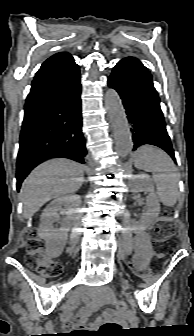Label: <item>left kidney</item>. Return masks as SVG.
Masks as SVG:
<instances>
[{
    "mask_svg": "<svg viewBox=\"0 0 194 336\" xmlns=\"http://www.w3.org/2000/svg\"><path fill=\"white\" fill-rule=\"evenodd\" d=\"M148 192L146 198L147 210L142 215L140 221L135 223V226L140 229L148 228L156 221L160 212L159 200L154 192V185L151 177L148 174H137L133 177L132 192Z\"/></svg>",
    "mask_w": 194,
    "mask_h": 336,
    "instance_id": "left-kidney-1",
    "label": "left kidney"
}]
</instances>
